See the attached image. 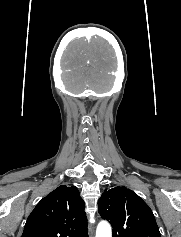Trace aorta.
Listing matches in <instances>:
<instances>
[{"label":"aorta","mask_w":181,"mask_h":237,"mask_svg":"<svg viewBox=\"0 0 181 237\" xmlns=\"http://www.w3.org/2000/svg\"><path fill=\"white\" fill-rule=\"evenodd\" d=\"M96 237H112L111 226L106 221H101L96 230Z\"/></svg>","instance_id":"762f6f07"}]
</instances>
